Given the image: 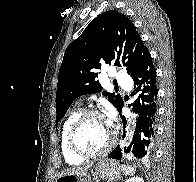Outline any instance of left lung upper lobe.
Instances as JSON below:
<instances>
[{
  "label": "left lung upper lobe",
  "instance_id": "left-lung-upper-lobe-1",
  "mask_svg": "<svg viewBox=\"0 0 196 182\" xmlns=\"http://www.w3.org/2000/svg\"><path fill=\"white\" fill-rule=\"evenodd\" d=\"M150 53L136 27L124 14L106 11L98 15L66 49L59 70L56 92V125L80 95L102 90L96 78L105 64L125 67L130 76L143 66ZM117 108L118 94L103 92Z\"/></svg>",
  "mask_w": 196,
  "mask_h": 182
}]
</instances>
